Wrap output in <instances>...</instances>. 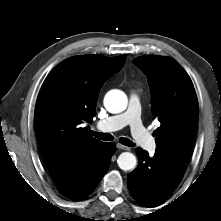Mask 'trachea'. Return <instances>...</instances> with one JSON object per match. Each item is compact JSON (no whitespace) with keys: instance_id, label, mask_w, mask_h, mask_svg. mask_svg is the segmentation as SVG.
Listing matches in <instances>:
<instances>
[{"instance_id":"1","label":"trachea","mask_w":221,"mask_h":221,"mask_svg":"<svg viewBox=\"0 0 221 221\" xmlns=\"http://www.w3.org/2000/svg\"><path fill=\"white\" fill-rule=\"evenodd\" d=\"M91 133L97 139H100V140L111 141V140L114 139V137L109 133H99V132H94V131H91ZM119 142L121 144L125 145V146H128V147H133L134 146V143L128 138H120Z\"/></svg>"}]
</instances>
